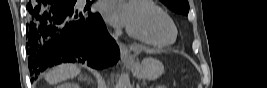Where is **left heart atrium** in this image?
Returning <instances> with one entry per match:
<instances>
[{
	"label": "left heart atrium",
	"instance_id": "39dd6f15",
	"mask_svg": "<svg viewBox=\"0 0 267 88\" xmlns=\"http://www.w3.org/2000/svg\"><path fill=\"white\" fill-rule=\"evenodd\" d=\"M105 20L115 26H128L130 22V5L121 1L105 0L99 5Z\"/></svg>",
	"mask_w": 267,
	"mask_h": 88
}]
</instances>
